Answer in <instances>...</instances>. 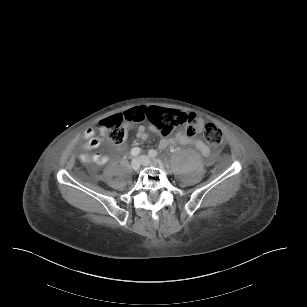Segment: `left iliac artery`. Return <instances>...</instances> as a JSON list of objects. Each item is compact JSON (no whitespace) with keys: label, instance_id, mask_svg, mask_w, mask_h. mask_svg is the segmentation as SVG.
Masks as SVG:
<instances>
[{"label":"left iliac artery","instance_id":"obj_1","mask_svg":"<svg viewBox=\"0 0 307 307\" xmlns=\"http://www.w3.org/2000/svg\"><path fill=\"white\" fill-rule=\"evenodd\" d=\"M156 155H157V152L155 150L152 149V150L149 151L150 157H156Z\"/></svg>","mask_w":307,"mask_h":307}]
</instances>
